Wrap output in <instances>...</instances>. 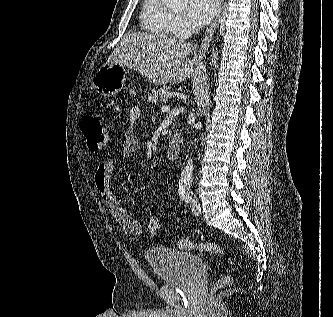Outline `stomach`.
Instances as JSON below:
<instances>
[{
  "label": "stomach",
  "instance_id": "stomach-1",
  "mask_svg": "<svg viewBox=\"0 0 333 317\" xmlns=\"http://www.w3.org/2000/svg\"><path fill=\"white\" fill-rule=\"evenodd\" d=\"M127 72L125 66L106 63L96 71L92 82L93 89L100 95H114L122 89ZM130 94H135L134 90H131Z\"/></svg>",
  "mask_w": 333,
  "mask_h": 317
}]
</instances>
